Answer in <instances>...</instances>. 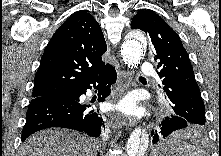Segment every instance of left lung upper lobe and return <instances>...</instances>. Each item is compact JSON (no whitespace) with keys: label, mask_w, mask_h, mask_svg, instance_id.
I'll use <instances>...</instances> for the list:
<instances>
[{"label":"left lung upper lobe","mask_w":221,"mask_h":156,"mask_svg":"<svg viewBox=\"0 0 221 156\" xmlns=\"http://www.w3.org/2000/svg\"><path fill=\"white\" fill-rule=\"evenodd\" d=\"M131 28L141 29L148 35L165 98L175 115L192 124L204 125V103L179 36L152 11H138L131 21Z\"/></svg>","instance_id":"left-lung-upper-lobe-1"}]
</instances>
